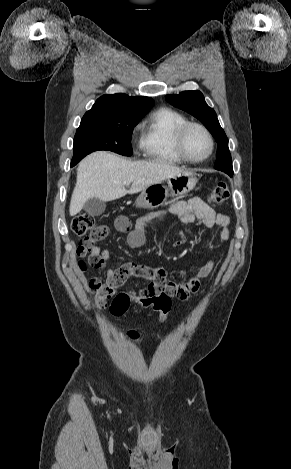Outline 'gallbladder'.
<instances>
[{
	"instance_id": "gallbladder-1",
	"label": "gallbladder",
	"mask_w": 291,
	"mask_h": 469,
	"mask_svg": "<svg viewBox=\"0 0 291 469\" xmlns=\"http://www.w3.org/2000/svg\"><path fill=\"white\" fill-rule=\"evenodd\" d=\"M105 207L104 201L93 197L85 202L83 210L89 215L99 216L104 212Z\"/></svg>"
}]
</instances>
